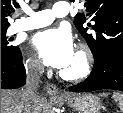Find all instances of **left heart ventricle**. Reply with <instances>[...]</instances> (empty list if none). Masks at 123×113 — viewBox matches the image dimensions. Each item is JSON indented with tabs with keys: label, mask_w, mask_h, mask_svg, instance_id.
I'll return each instance as SVG.
<instances>
[{
	"label": "left heart ventricle",
	"mask_w": 123,
	"mask_h": 113,
	"mask_svg": "<svg viewBox=\"0 0 123 113\" xmlns=\"http://www.w3.org/2000/svg\"><path fill=\"white\" fill-rule=\"evenodd\" d=\"M78 65H79V62H78L77 58L74 57L72 62L66 68H64L63 70L71 72V71L76 70L78 68Z\"/></svg>",
	"instance_id": "1"
}]
</instances>
